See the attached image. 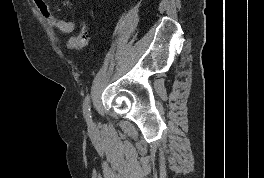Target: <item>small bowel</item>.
Masks as SVG:
<instances>
[{
    "instance_id": "1",
    "label": "small bowel",
    "mask_w": 264,
    "mask_h": 178,
    "mask_svg": "<svg viewBox=\"0 0 264 178\" xmlns=\"http://www.w3.org/2000/svg\"><path fill=\"white\" fill-rule=\"evenodd\" d=\"M47 24L61 34H70L75 29V20H62L52 12L46 0H33Z\"/></svg>"
}]
</instances>
